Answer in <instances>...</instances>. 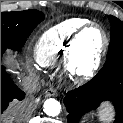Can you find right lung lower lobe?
Here are the masks:
<instances>
[{"instance_id":"1","label":"right lung lower lobe","mask_w":123,"mask_h":123,"mask_svg":"<svg viewBox=\"0 0 123 123\" xmlns=\"http://www.w3.org/2000/svg\"><path fill=\"white\" fill-rule=\"evenodd\" d=\"M25 93L21 91L1 66V114L14 99L21 101Z\"/></svg>"}]
</instances>
